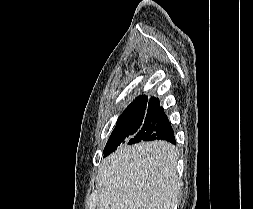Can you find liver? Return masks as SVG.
<instances>
[{
	"instance_id": "6515ba94",
	"label": "liver",
	"mask_w": 253,
	"mask_h": 209,
	"mask_svg": "<svg viewBox=\"0 0 253 209\" xmlns=\"http://www.w3.org/2000/svg\"><path fill=\"white\" fill-rule=\"evenodd\" d=\"M178 154L166 141L121 146L97 175L98 209H174Z\"/></svg>"
}]
</instances>
